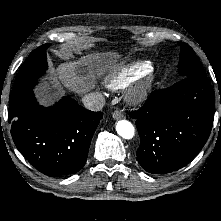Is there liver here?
<instances>
[{"mask_svg":"<svg viewBox=\"0 0 221 221\" xmlns=\"http://www.w3.org/2000/svg\"><path fill=\"white\" fill-rule=\"evenodd\" d=\"M121 56L116 52L93 53L81 57L78 60L61 63L55 69L56 80L69 90L85 94L95 86V75L101 76L108 70H114ZM58 81L55 85L42 86L37 95L43 105L51 104L60 96L57 90Z\"/></svg>","mask_w":221,"mask_h":221,"instance_id":"liver-1","label":"liver"}]
</instances>
